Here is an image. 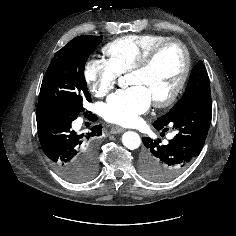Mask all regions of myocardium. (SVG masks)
I'll list each match as a JSON object with an SVG mask.
<instances>
[{
  "label": "myocardium",
  "mask_w": 236,
  "mask_h": 236,
  "mask_svg": "<svg viewBox=\"0 0 236 236\" xmlns=\"http://www.w3.org/2000/svg\"><path fill=\"white\" fill-rule=\"evenodd\" d=\"M170 45H177L180 47L184 57L183 69L171 93L163 99L154 100V106L157 108H166L172 105L181 94L187 82L191 68V60L186 45L181 40L176 38H170L168 40H165L151 48L146 53V55L130 70V73L145 71L153 64L154 60L159 55V53H161L166 47Z\"/></svg>",
  "instance_id": "1"
}]
</instances>
